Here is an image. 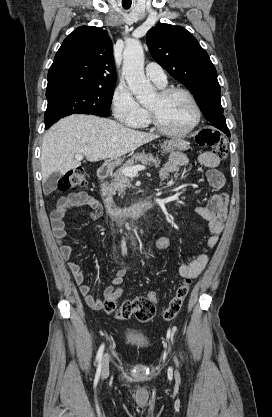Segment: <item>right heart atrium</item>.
Masks as SVG:
<instances>
[{
  "mask_svg": "<svg viewBox=\"0 0 272 417\" xmlns=\"http://www.w3.org/2000/svg\"><path fill=\"white\" fill-rule=\"evenodd\" d=\"M111 107L115 118L131 127L137 125L146 113L125 84H119L114 89Z\"/></svg>",
  "mask_w": 272,
  "mask_h": 417,
  "instance_id": "obj_1",
  "label": "right heart atrium"
}]
</instances>
